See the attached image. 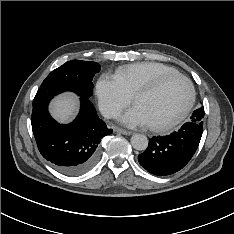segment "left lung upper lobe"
Returning a JSON list of instances; mask_svg holds the SVG:
<instances>
[{
  "label": "left lung upper lobe",
  "mask_w": 234,
  "mask_h": 234,
  "mask_svg": "<svg viewBox=\"0 0 234 234\" xmlns=\"http://www.w3.org/2000/svg\"><path fill=\"white\" fill-rule=\"evenodd\" d=\"M203 118H204V107H199L192 113V116L190 117L189 121L203 125Z\"/></svg>",
  "instance_id": "left-lung-upper-lobe-1"
}]
</instances>
